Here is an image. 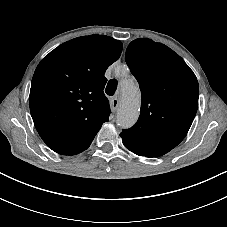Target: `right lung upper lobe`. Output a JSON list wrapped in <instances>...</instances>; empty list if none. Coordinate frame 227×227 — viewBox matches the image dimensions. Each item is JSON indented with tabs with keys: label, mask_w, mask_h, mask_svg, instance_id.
Here are the masks:
<instances>
[{
	"label": "right lung upper lobe",
	"mask_w": 227,
	"mask_h": 227,
	"mask_svg": "<svg viewBox=\"0 0 227 227\" xmlns=\"http://www.w3.org/2000/svg\"><path fill=\"white\" fill-rule=\"evenodd\" d=\"M121 52L119 40L90 35L63 43L39 63L30 111L39 135L53 151L75 155L86 150L109 120L104 74Z\"/></svg>",
	"instance_id": "1"
}]
</instances>
